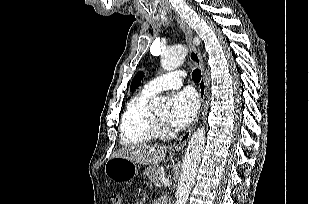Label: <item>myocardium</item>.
Here are the masks:
<instances>
[{
	"mask_svg": "<svg viewBox=\"0 0 309 204\" xmlns=\"http://www.w3.org/2000/svg\"><path fill=\"white\" fill-rule=\"evenodd\" d=\"M154 120L158 127H164L166 125V121L161 120L158 116L154 115Z\"/></svg>",
	"mask_w": 309,
	"mask_h": 204,
	"instance_id": "myocardium-1",
	"label": "myocardium"
}]
</instances>
